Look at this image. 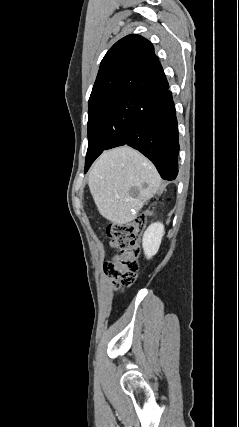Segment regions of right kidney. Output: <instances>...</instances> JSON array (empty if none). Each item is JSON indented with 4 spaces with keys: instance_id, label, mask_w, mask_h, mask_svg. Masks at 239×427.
<instances>
[{
    "instance_id": "ca27d5eb",
    "label": "right kidney",
    "mask_w": 239,
    "mask_h": 427,
    "mask_svg": "<svg viewBox=\"0 0 239 427\" xmlns=\"http://www.w3.org/2000/svg\"><path fill=\"white\" fill-rule=\"evenodd\" d=\"M163 235L164 225L160 222L151 224L144 232L142 246L148 259L158 252Z\"/></svg>"
}]
</instances>
